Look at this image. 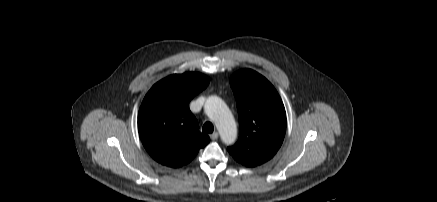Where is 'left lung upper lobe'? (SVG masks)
I'll return each instance as SVG.
<instances>
[{
	"label": "left lung upper lobe",
	"mask_w": 437,
	"mask_h": 202,
	"mask_svg": "<svg viewBox=\"0 0 437 202\" xmlns=\"http://www.w3.org/2000/svg\"><path fill=\"white\" fill-rule=\"evenodd\" d=\"M230 85L237 102L240 135L227 150L247 167L261 165L282 145L286 132L283 102L273 85L251 69L235 72Z\"/></svg>",
	"instance_id": "obj_1"
}]
</instances>
